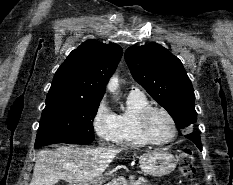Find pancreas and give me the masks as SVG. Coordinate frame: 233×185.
<instances>
[{
    "mask_svg": "<svg viewBox=\"0 0 233 185\" xmlns=\"http://www.w3.org/2000/svg\"><path fill=\"white\" fill-rule=\"evenodd\" d=\"M126 183L127 181H124L122 178H114L106 185H127ZM129 185H150V184L148 183L147 179H145L144 177H141L136 181L130 180Z\"/></svg>",
    "mask_w": 233,
    "mask_h": 185,
    "instance_id": "obj_1",
    "label": "pancreas"
}]
</instances>
